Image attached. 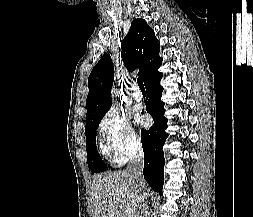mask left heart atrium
Here are the masks:
<instances>
[{
    "instance_id": "1",
    "label": "left heart atrium",
    "mask_w": 253,
    "mask_h": 217,
    "mask_svg": "<svg viewBox=\"0 0 253 217\" xmlns=\"http://www.w3.org/2000/svg\"><path fill=\"white\" fill-rule=\"evenodd\" d=\"M137 121H138L139 123H141V124H144V123H145V119H144V117H142V116H139V117L137 118Z\"/></svg>"
}]
</instances>
